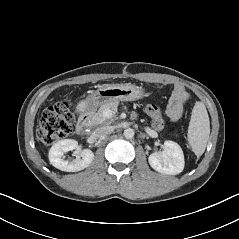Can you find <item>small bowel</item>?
<instances>
[{
	"label": "small bowel",
	"instance_id": "small-bowel-1",
	"mask_svg": "<svg viewBox=\"0 0 239 239\" xmlns=\"http://www.w3.org/2000/svg\"><path fill=\"white\" fill-rule=\"evenodd\" d=\"M185 98L186 94L181 88H178L171 97L166 112L172 121H177L181 117Z\"/></svg>",
	"mask_w": 239,
	"mask_h": 239
}]
</instances>
